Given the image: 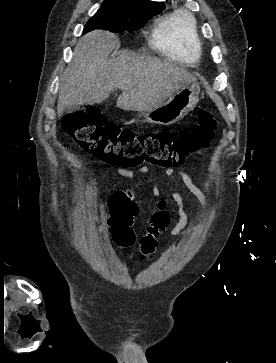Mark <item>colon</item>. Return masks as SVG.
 <instances>
[{"instance_id":"5ec220e1","label":"colon","mask_w":276,"mask_h":363,"mask_svg":"<svg viewBox=\"0 0 276 363\" xmlns=\"http://www.w3.org/2000/svg\"><path fill=\"white\" fill-rule=\"evenodd\" d=\"M62 127L85 151L102 161L121 167L147 163L171 168L182 165L190 155L208 149L217 123L208 109L201 108L191 127L177 134L159 130L136 135L130 130L119 129L99 110L89 108L67 115ZM111 211L110 225L118 242L123 246L134 244L136 236L128 216L117 208ZM154 224L160 228L164 226L161 221ZM156 243L155 233L140 237L142 258L152 256Z\"/></svg>"}]
</instances>
